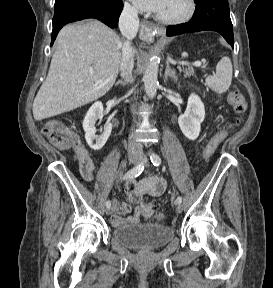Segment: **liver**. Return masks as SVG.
<instances>
[{
    "label": "liver",
    "mask_w": 273,
    "mask_h": 288,
    "mask_svg": "<svg viewBox=\"0 0 273 288\" xmlns=\"http://www.w3.org/2000/svg\"><path fill=\"white\" fill-rule=\"evenodd\" d=\"M123 48L124 41L100 21L63 27L33 102L34 119L54 117L104 96L119 73Z\"/></svg>",
    "instance_id": "liver-1"
}]
</instances>
